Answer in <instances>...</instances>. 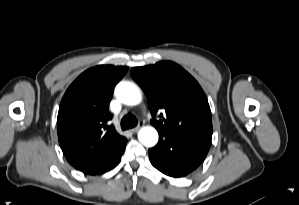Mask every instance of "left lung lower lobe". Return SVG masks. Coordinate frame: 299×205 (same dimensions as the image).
<instances>
[{
	"label": "left lung lower lobe",
	"instance_id": "left-lung-lower-lobe-1",
	"mask_svg": "<svg viewBox=\"0 0 299 205\" xmlns=\"http://www.w3.org/2000/svg\"><path fill=\"white\" fill-rule=\"evenodd\" d=\"M158 144L149 149L151 164L174 178L184 177L205 159L211 139L181 134H159Z\"/></svg>",
	"mask_w": 299,
	"mask_h": 205
}]
</instances>
